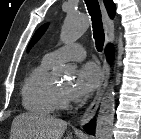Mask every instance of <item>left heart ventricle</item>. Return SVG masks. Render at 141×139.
Instances as JSON below:
<instances>
[{
	"mask_svg": "<svg viewBox=\"0 0 141 139\" xmlns=\"http://www.w3.org/2000/svg\"><path fill=\"white\" fill-rule=\"evenodd\" d=\"M70 86H71V83L70 82H66L64 84L59 85L58 87L60 89H62L64 92L68 93V90H69Z\"/></svg>",
	"mask_w": 141,
	"mask_h": 139,
	"instance_id": "left-heart-ventricle-1",
	"label": "left heart ventricle"
}]
</instances>
